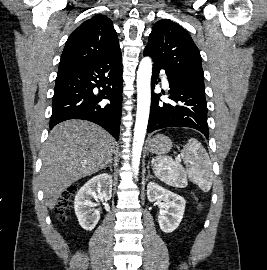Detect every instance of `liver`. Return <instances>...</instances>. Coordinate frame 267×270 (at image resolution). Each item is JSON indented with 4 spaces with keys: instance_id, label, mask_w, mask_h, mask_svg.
Instances as JSON below:
<instances>
[{
    "instance_id": "liver-1",
    "label": "liver",
    "mask_w": 267,
    "mask_h": 270,
    "mask_svg": "<svg viewBox=\"0 0 267 270\" xmlns=\"http://www.w3.org/2000/svg\"><path fill=\"white\" fill-rule=\"evenodd\" d=\"M115 145L107 131L91 122L68 120L55 126L42 153L40 179L46 206L53 209L70 185L108 166Z\"/></svg>"
}]
</instances>
